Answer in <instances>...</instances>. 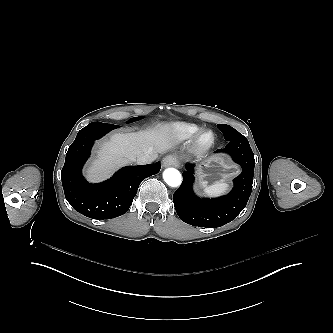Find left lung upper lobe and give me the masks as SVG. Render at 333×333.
Listing matches in <instances>:
<instances>
[{
	"label": "left lung upper lobe",
	"instance_id": "left-lung-upper-lobe-1",
	"mask_svg": "<svg viewBox=\"0 0 333 333\" xmlns=\"http://www.w3.org/2000/svg\"><path fill=\"white\" fill-rule=\"evenodd\" d=\"M217 126L223 133L225 140H228L229 138L234 137L239 133L237 130L226 124H218Z\"/></svg>",
	"mask_w": 333,
	"mask_h": 333
}]
</instances>
